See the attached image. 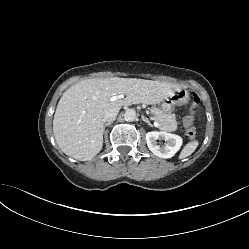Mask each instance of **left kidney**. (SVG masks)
Instances as JSON below:
<instances>
[{
	"label": "left kidney",
	"mask_w": 249,
	"mask_h": 249,
	"mask_svg": "<svg viewBox=\"0 0 249 249\" xmlns=\"http://www.w3.org/2000/svg\"><path fill=\"white\" fill-rule=\"evenodd\" d=\"M165 140V145L160 146L157 140ZM182 138L178 135L167 133L164 131H152L146 134V143L149 150L160 158L173 157L182 146Z\"/></svg>",
	"instance_id": "1"
}]
</instances>
